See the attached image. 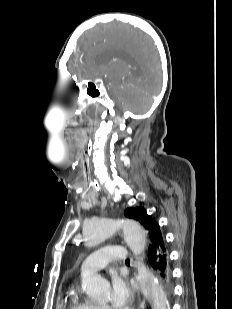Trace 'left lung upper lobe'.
Returning a JSON list of instances; mask_svg holds the SVG:
<instances>
[{
	"mask_svg": "<svg viewBox=\"0 0 232 309\" xmlns=\"http://www.w3.org/2000/svg\"><path fill=\"white\" fill-rule=\"evenodd\" d=\"M125 216L139 221L148 231V235L151 233L153 226L157 224L156 220L148 215L143 207L128 208L125 210Z\"/></svg>",
	"mask_w": 232,
	"mask_h": 309,
	"instance_id": "obj_1",
	"label": "left lung upper lobe"
}]
</instances>
